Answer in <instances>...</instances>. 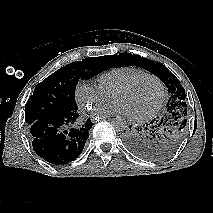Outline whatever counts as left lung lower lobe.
Wrapping results in <instances>:
<instances>
[{"instance_id":"left-lung-lower-lobe-1","label":"left lung lower lobe","mask_w":213,"mask_h":213,"mask_svg":"<svg viewBox=\"0 0 213 213\" xmlns=\"http://www.w3.org/2000/svg\"><path fill=\"white\" fill-rule=\"evenodd\" d=\"M163 123L164 118H161L160 120L147 124L144 129H133L130 125L127 131L124 130V143L134 154L148 158L151 152L150 141L153 137H156V133Z\"/></svg>"}]
</instances>
